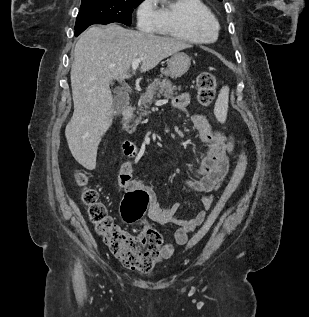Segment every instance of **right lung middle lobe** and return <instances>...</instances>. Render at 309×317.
<instances>
[{
  "label": "right lung middle lobe",
  "mask_w": 309,
  "mask_h": 317,
  "mask_svg": "<svg viewBox=\"0 0 309 317\" xmlns=\"http://www.w3.org/2000/svg\"><path fill=\"white\" fill-rule=\"evenodd\" d=\"M143 0H82L75 31L92 24L131 25V13Z\"/></svg>",
  "instance_id": "dd1d6c3e"
}]
</instances>
